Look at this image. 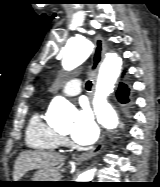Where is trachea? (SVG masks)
I'll return each mask as SVG.
<instances>
[{
    "mask_svg": "<svg viewBox=\"0 0 160 187\" xmlns=\"http://www.w3.org/2000/svg\"><path fill=\"white\" fill-rule=\"evenodd\" d=\"M91 87H92V82H91V81H87V82H86V89H87V90H90Z\"/></svg>",
    "mask_w": 160,
    "mask_h": 187,
    "instance_id": "3493384b",
    "label": "trachea"
}]
</instances>
